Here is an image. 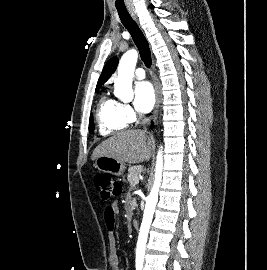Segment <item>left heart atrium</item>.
Segmentation results:
<instances>
[{"instance_id":"left-heart-atrium-1","label":"left heart atrium","mask_w":267,"mask_h":270,"mask_svg":"<svg viewBox=\"0 0 267 270\" xmlns=\"http://www.w3.org/2000/svg\"><path fill=\"white\" fill-rule=\"evenodd\" d=\"M155 103V92L151 83L142 81L134 89V106L141 113L149 112Z\"/></svg>"}]
</instances>
